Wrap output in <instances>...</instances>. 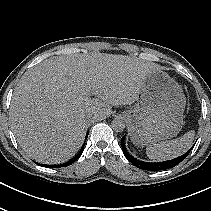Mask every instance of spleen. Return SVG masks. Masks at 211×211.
I'll list each match as a JSON object with an SVG mask.
<instances>
[{"instance_id":"1","label":"spleen","mask_w":211,"mask_h":211,"mask_svg":"<svg viewBox=\"0 0 211 211\" xmlns=\"http://www.w3.org/2000/svg\"><path fill=\"white\" fill-rule=\"evenodd\" d=\"M194 136L195 131L191 130L177 139L149 145L146 148V154L153 161L176 158L191 148Z\"/></svg>"}]
</instances>
